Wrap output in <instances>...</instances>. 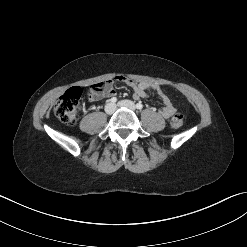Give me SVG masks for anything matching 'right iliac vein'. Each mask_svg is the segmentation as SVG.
<instances>
[{"mask_svg":"<svg viewBox=\"0 0 247 247\" xmlns=\"http://www.w3.org/2000/svg\"><path fill=\"white\" fill-rule=\"evenodd\" d=\"M116 107L113 103H108L106 106H105V112L109 115L113 114L114 111H115Z\"/></svg>","mask_w":247,"mask_h":247,"instance_id":"obj_1","label":"right iliac vein"}]
</instances>
